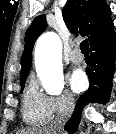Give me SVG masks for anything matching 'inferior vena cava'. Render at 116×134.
<instances>
[{"label":"inferior vena cava","mask_w":116,"mask_h":134,"mask_svg":"<svg viewBox=\"0 0 116 134\" xmlns=\"http://www.w3.org/2000/svg\"><path fill=\"white\" fill-rule=\"evenodd\" d=\"M74 110V102L71 99H68L64 105V107L58 113L55 121L51 125V128L55 131L60 133L63 129L64 124L70 118L72 112Z\"/></svg>","instance_id":"obj_1"}]
</instances>
